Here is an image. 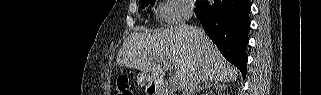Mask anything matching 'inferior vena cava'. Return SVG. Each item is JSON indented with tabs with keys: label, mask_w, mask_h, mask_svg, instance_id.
I'll use <instances>...</instances> for the list:
<instances>
[{
	"label": "inferior vena cava",
	"mask_w": 321,
	"mask_h": 95,
	"mask_svg": "<svg viewBox=\"0 0 321 95\" xmlns=\"http://www.w3.org/2000/svg\"><path fill=\"white\" fill-rule=\"evenodd\" d=\"M191 14H193V9H191ZM195 28L198 33H200V34L203 33V30L201 28H198V27H195ZM203 79L204 78L200 72L196 73L191 79H189V81L185 85L183 95H192V93L195 91V88L197 87L198 83L203 81Z\"/></svg>",
	"instance_id": "obj_1"
}]
</instances>
